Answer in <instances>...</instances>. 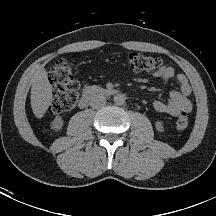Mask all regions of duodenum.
<instances>
[{"label": "duodenum", "instance_id": "obj_1", "mask_svg": "<svg viewBox=\"0 0 216 216\" xmlns=\"http://www.w3.org/2000/svg\"><path fill=\"white\" fill-rule=\"evenodd\" d=\"M116 94H118V91L116 89H98L90 87L84 91L78 102V105L80 108H84L89 104L90 100L97 95L112 96Z\"/></svg>", "mask_w": 216, "mask_h": 216}]
</instances>
